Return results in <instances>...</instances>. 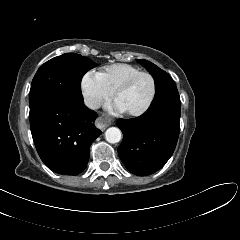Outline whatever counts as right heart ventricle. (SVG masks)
<instances>
[{
  "label": "right heart ventricle",
  "instance_id": "right-heart-ventricle-1",
  "mask_svg": "<svg viewBox=\"0 0 240 240\" xmlns=\"http://www.w3.org/2000/svg\"><path fill=\"white\" fill-rule=\"evenodd\" d=\"M141 69L131 64H112L104 67L98 76L103 83L113 92L128 78L140 72Z\"/></svg>",
  "mask_w": 240,
  "mask_h": 240
}]
</instances>
